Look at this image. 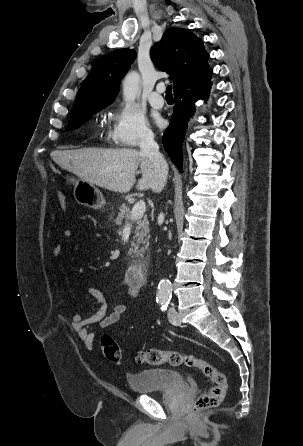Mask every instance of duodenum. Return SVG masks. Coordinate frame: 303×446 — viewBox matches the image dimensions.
<instances>
[{
	"mask_svg": "<svg viewBox=\"0 0 303 446\" xmlns=\"http://www.w3.org/2000/svg\"><path fill=\"white\" fill-rule=\"evenodd\" d=\"M146 264L144 260L133 262L127 270V282L131 285L141 286L145 281Z\"/></svg>",
	"mask_w": 303,
	"mask_h": 446,
	"instance_id": "1",
	"label": "duodenum"
}]
</instances>
